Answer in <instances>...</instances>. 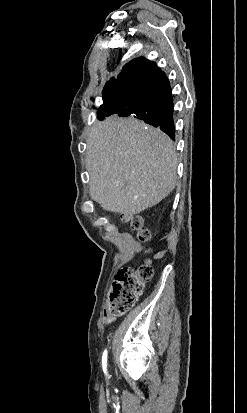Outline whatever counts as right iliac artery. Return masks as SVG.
<instances>
[{
	"mask_svg": "<svg viewBox=\"0 0 247 413\" xmlns=\"http://www.w3.org/2000/svg\"><path fill=\"white\" fill-rule=\"evenodd\" d=\"M102 366H103V371L106 374V367H107V350L103 352L102 356Z\"/></svg>",
	"mask_w": 247,
	"mask_h": 413,
	"instance_id": "1",
	"label": "right iliac artery"
}]
</instances>
